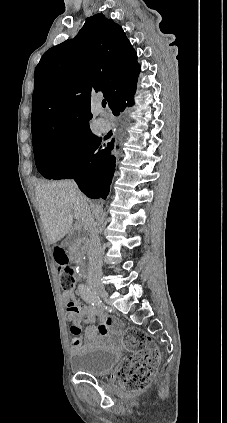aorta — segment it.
Listing matches in <instances>:
<instances>
[{
  "label": "aorta",
  "instance_id": "aorta-1",
  "mask_svg": "<svg viewBox=\"0 0 227 423\" xmlns=\"http://www.w3.org/2000/svg\"><path fill=\"white\" fill-rule=\"evenodd\" d=\"M88 259H87V257L85 256L84 258H83V260H81V262H80V265H79V271L80 272H85L86 270H87V268H88ZM77 272H78V268H77Z\"/></svg>",
  "mask_w": 227,
  "mask_h": 423
}]
</instances>
